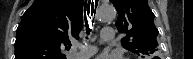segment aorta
Instances as JSON below:
<instances>
[{
	"mask_svg": "<svg viewBox=\"0 0 193 59\" xmlns=\"http://www.w3.org/2000/svg\"><path fill=\"white\" fill-rule=\"evenodd\" d=\"M116 10L110 4L101 5L96 13V17L100 22H111L116 18Z\"/></svg>",
	"mask_w": 193,
	"mask_h": 59,
	"instance_id": "aorta-1",
	"label": "aorta"
}]
</instances>
